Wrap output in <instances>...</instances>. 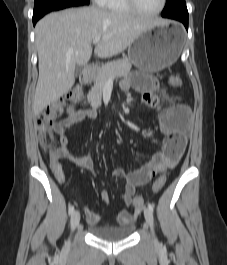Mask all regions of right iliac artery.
Returning a JSON list of instances; mask_svg holds the SVG:
<instances>
[{"mask_svg": "<svg viewBox=\"0 0 227 265\" xmlns=\"http://www.w3.org/2000/svg\"><path fill=\"white\" fill-rule=\"evenodd\" d=\"M73 212H74V206L71 205V206L69 207V211H68V213H69V215H72Z\"/></svg>", "mask_w": 227, "mask_h": 265, "instance_id": "1", "label": "right iliac artery"}]
</instances>
